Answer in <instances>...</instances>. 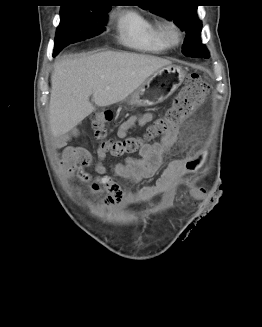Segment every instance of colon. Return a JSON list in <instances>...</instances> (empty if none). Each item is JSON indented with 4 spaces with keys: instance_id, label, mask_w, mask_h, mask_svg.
<instances>
[{
    "instance_id": "1",
    "label": "colon",
    "mask_w": 262,
    "mask_h": 327,
    "mask_svg": "<svg viewBox=\"0 0 262 327\" xmlns=\"http://www.w3.org/2000/svg\"><path fill=\"white\" fill-rule=\"evenodd\" d=\"M209 85L198 75H190L183 88L165 110L162 117L154 121L144 137L108 139L106 126L112 120L109 111H97L90 116L94 136L100 146L113 157H124L140 152L148 143L165 136L188 119L204 102Z\"/></svg>"
}]
</instances>
